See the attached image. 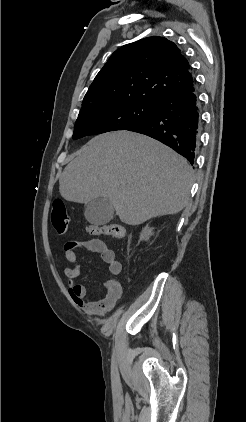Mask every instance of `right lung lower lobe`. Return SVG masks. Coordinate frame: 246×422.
Listing matches in <instances>:
<instances>
[{
    "mask_svg": "<svg viewBox=\"0 0 246 422\" xmlns=\"http://www.w3.org/2000/svg\"><path fill=\"white\" fill-rule=\"evenodd\" d=\"M201 119L195 85L156 102L155 115L127 130L150 136L184 156L193 165Z\"/></svg>",
    "mask_w": 246,
    "mask_h": 422,
    "instance_id": "right-lung-lower-lobe-1",
    "label": "right lung lower lobe"
}]
</instances>
